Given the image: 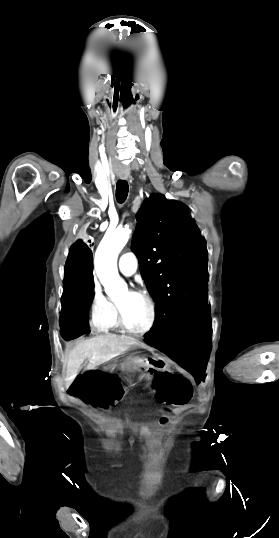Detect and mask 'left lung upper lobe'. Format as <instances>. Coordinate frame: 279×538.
Masks as SVG:
<instances>
[{
    "instance_id": "5c2ea615",
    "label": "left lung upper lobe",
    "mask_w": 279,
    "mask_h": 538,
    "mask_svg": "<svg viewBox=\"0 0 279 538\" xmlns=\"http://www.w3.org/2000/svg\"><path fill=\"white\" fill-rule=\"evenodd\" d=\"M132 250L155 301L148 336H164L207 302L208 255L197 225L181 203L156 194L138 211Z\"/></svg>"
}]
</instances>
